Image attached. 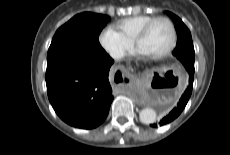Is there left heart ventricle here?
Masks as SVG:
<instances>
[{"instance_id":"obj_1","label":"left heart ventricle","mask_w":230,"mask_h":155,"mask_svg":"<svg viewBox=\"0 0 230 155\" xmlns=\"http://www.w3.org/2000/svg\"><path fill=\"white\" fill-rule=\"evenodd\" d=\"M171 41V29L167 22L158 21L140 41V48L146 55H155L167 49Z\"/></svg>"}]
</instances>
